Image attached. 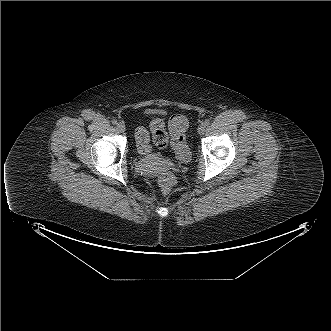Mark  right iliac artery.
<instances>
[{
	"mask_svg": "<svg viewBox=\"0 0 331 331\" xmlns=\"http://www.w3.org/2000/svg\"><path fill=\"white\" fill-rule=\"evenodd\" d=\"M112 124L116 125L117 124V120L116 119H113L112 120Z\"/></svg>",
	"mask_w": 331,
	"mask_h": 331,
	"instance_id": "right-iliac-artery-1",
	"label": "right iliac artery"
}]
</instances>
